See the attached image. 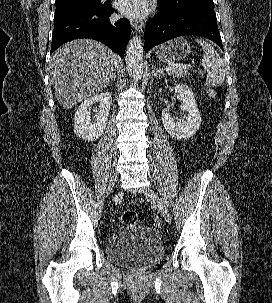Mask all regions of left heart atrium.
I'll use <instances>...</instances> for the list:
<instances>
[{"instance_id": "1", "label": "left heart atrium", "mask_w": 272, "mask_h": 303, "mask_svg": "<svg viewBox=\"0 0 272 303\" xmlns=\"http://www.w3.org/2000/svg\"><path fill=\"white\" fill-rule=\"evenodd\" d=\"M118 11L127 17L142 18L151 9V0H118Z\"/></svg>"}]
</instances>
